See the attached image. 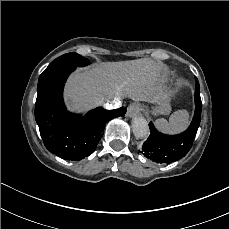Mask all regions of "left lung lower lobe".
Segmentation results:
<instances>
[{"label":"left lung lower lobe","instance_id":"0a47b994","mask_svg":"<svg viewBox=\"0 0 229 229\" xmlns=\"http://www.w3.org/2000/svg\"><path fill=\"white\" fill-rule=\"evenodd\" d=\"M195 113L190 126L178 135H165L158 132L153 124L149 123L150 136L144 142L142 151L147 158L157 163H172L183 158L192 147L201 120L202 102L200 85L195 77Z\"/></svg>","mask_w":229,"mask_h":229}]
</instances>
